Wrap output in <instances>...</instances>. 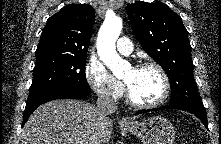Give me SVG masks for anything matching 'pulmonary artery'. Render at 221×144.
I'll use <instances>...</instances> for the list:
<instances>
[{
	"label": "pulmonary artery",
	"mask_w": 221,
	"mask_h": 144,
	"mask_svg": "<svg viewBox=\"0 0 221 144\" xmlns=\"http://www.w3.org/2000/svg\"><path fill=\"white\" fill-rule=\"evenodd\" d=\"M117 50L122 55H130L133 51V45L129 38L127 37H121L117 41Z\"/></svg>",
	"instance_id": "e3ab8cb5"
}]
</instances>
